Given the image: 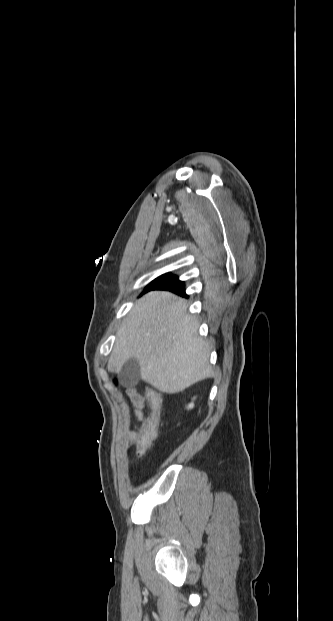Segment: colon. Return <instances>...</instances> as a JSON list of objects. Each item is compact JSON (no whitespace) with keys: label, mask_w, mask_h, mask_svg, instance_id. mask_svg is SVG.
Returning <instances> with one entry per match:
<instances>
[{"label":"colon","mask_w":333,"mask_h":621,"mask_svg":"<svg viewBox=\"0 0 333 621\" xmlns=\"http://www.w3.org/2000/svg\"><path fill=\"white\" fill-rule=\"evenodd\" d=\"M161 406L162 396L160 392L155 389H150L149 409L144 421L138 429L139 435L136 443V453L139 458H143L149 452L152 442L158 433Z\"/></svg>","instance_id":"1"}]
</instances>
